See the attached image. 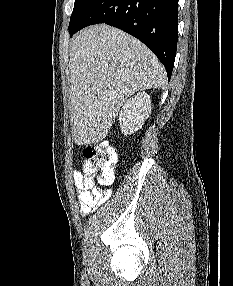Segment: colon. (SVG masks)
<instances>
[{
  "instance_id": "1",
  "label": "colon",
  "mask_w": 233,
  "mask_h": 286,
  "mask_svg": "<svg viewBox=\"0 0 233 286\" xmlns=\"http://www.w3.org/2000/svg\"><path fill=\"white\" fill-rule=\"evenodd\" d=\"M83 155L90 165L89 173L92 176L97 175L102 186L110 185L114 179L115 150L107 142H100L86 145Z\"/></svg>"
}]
</instances>
